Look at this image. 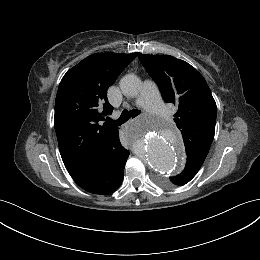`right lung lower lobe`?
I'll return each mask as SVG.
<instances>
[{
  "instance_id": "right-lung-lower-lobe-1",
  "label": "right lung lower lobe",
  "mask_w": 260,
  "mask_h": 260,
  "mask_svg": "<svg viewBox=\"0 0 260 260\" xmlns=\"http://www.w3.org/2000/svg\"><path fill=\"white\" fill-rule=\"evenodd\" d=\"M129 151L122 145L115 150L93 160L83 169L71 175L84 190L106 195L119 188L124 177V167Z\"/></svg>"
}]
</instances>
